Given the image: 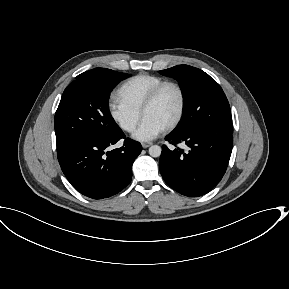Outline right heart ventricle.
Segmentation results:
<instances>
[{
  "label": "right heart ventricle",
  "instance_id": "e07e8e85",
  "mask_svg": "<svg viewBox=\"0 0 289 289\" xmlns=\"http://www.w3.org/2000/svg\"><path fill=\"white\" fill-rule=\"evenodd\" d=\"M162 77L151 74H138L126 80L117 90L119 100L141 112L142 105L149 93L160 83Z\"/></svg>",
  "mask_w": 289,
  "mask_h": 289
}]
</instances>
